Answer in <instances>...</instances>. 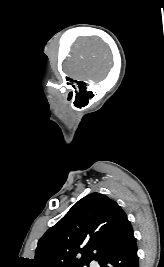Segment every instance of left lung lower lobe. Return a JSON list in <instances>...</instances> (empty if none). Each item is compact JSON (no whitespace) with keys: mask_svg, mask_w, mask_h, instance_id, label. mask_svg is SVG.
<instances>
[{"mask_svg":"<svg viewBox=\"0 0 164 267\" xmlns=\"http://www.w3.org/2000/svg\"><path fill=\"white\" fill-rule=\"evenodd\" d=\"M101 267H138L137 245L128 221L102 255Z\"/></svg>","mask_w":164,"mask_h":267,"instance_id":"1","label":"left lung lower lobe"}]
</instances>
